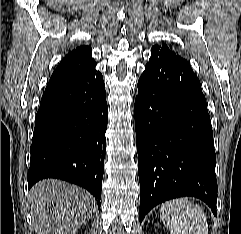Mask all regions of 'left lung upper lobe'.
I'll return each mask as SVG.
<instances>
[{
  "mask_svg": "<svg viewBox=\"0 0 241 234\" xmlns=\"http://www.w3.org/2000/svg\"><path fill=\"white\" fill-rule=\"evenodd\" d=\"M154 48H166V49H169L168 47H167V45L166 44H163L162 46H153ZM171 47V46H170ZM172 51V50H171ZM174 52V51H173Z\"/></svg>",
  "mask_w": 241,
  "mask_h": 234,
  "instance_id": "left-lung-upper-lobe-1",
  "label": "left lung upper lobe"
}]
</instances>
